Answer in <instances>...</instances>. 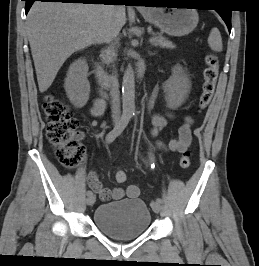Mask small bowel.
<instances>
[{"instance_id":"c3829d8e","label":"small bowel","mask_w":259,"mask_h":266,"mask_svg":"<svg viewBox=\"0 0 259 266\" xmlns=\"http://www.w3.org/2000/svg\"><path fill=\"white\" fill-rule=\"evenodd\" d=\"M105 101L99 99L94 103L92 108V114L95 116H101L105 110ZM175 117L172 112L154 113L150 116V122L152 124L151 134L155 136L167 123L169 119ZM193 119L190 116L185 117L184 123L178 130V137L169 141L168 144L157 142V146L163 150L184 153L190 147L192 141L191 126ZM89 187L99 195L103 201L119 200L124 195L128 198H137L139 195V188L135 185H129L126 190L122 188L107 189L102 186L97 175L91 172L88 176Z\"/></svg>"}]
</instances>
